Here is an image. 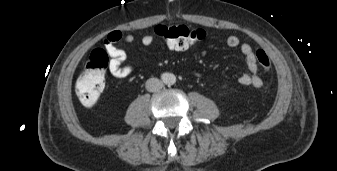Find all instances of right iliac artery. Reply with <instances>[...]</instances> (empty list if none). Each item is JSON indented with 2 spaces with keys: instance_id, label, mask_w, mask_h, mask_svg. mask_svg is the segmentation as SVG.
<instances>
[{
  "instance_id": "obj_1",
  "label": "right iliac artery",
  "mask_w": 337,
  "mask_h": 171,
  "mask_svg": "<svg viewBox=\"0 0 337 171\" xmlns=\"http://www.w3.org/2000/svg\"><path fill=\"white\" fill-rule=\"evenodd\" d=\"M166 77H167L166 74H163V75H162V78H163L164 80L166 79Z\"/></svg>"
}]
</instances>
